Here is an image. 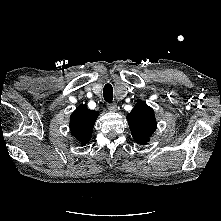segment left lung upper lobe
Instances as JSON below:
<instances>
[{
  "label": "left lung upper lobe",
  "mask_w": 221,
  "mask_h": 221,
  "mask_svg": "<svg viewBox=\"0 0 221 221\" xmlns=\"http://www.w3.org/2000/svg\"><path fill=\"white\" fill-rule=\"evenodd\" d=\"M127 121L136 143L144 145L157 128L154 111L146 103H136L133 110L127 115Z\"/></svg>",
  "instance_id": "5c2ea615"
}]
</instances>
